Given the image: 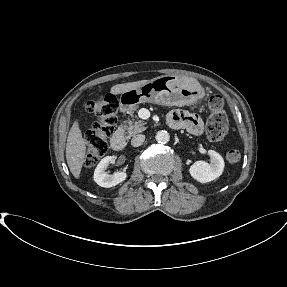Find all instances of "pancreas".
Wrapping results in <instances>:
<instances>
[{
  "mask_svg": "<svg viewBox=\"0 0 287 287\" xmlns=\"http://www.w3.org/2000/svg\"><path fill=\"white\" fill-rule=\"evenodd\" d=\"M132 112L131 115H133ZM145 124L146 123L143 120L128 119L124 122L123 125L120 126V129L124 131L127 138H131L132 136H135L136 134L145 131Z\"/></svg>",
  "mask_w": 287,
  "mask_h": 287,
  "instance_id": "obj_1",
  "label": "pancreas"
}]
</instances>
